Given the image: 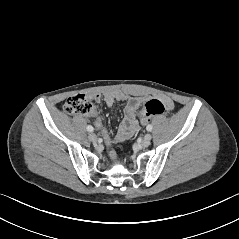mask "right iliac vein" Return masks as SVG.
<instances>
[{
    "instance_id": "63e3f726",
    "label": "right iliac vein",
    "mask_w": 239,
    "mask_h": 239,
    "mask_svg": "<svg viewBox=\"0 0 239 239\" xmlns=\"http://www.w3.org/2000/svg\"><path fill=\"white\" fill-rule=\"evenodd\" d=\"M88 139H89L90 141H92V142H96V141H97V136H96V134H94V133H90V134L88 135Z\"/></svg>"
}]
</instances>
